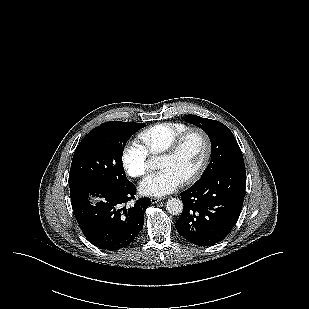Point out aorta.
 Returning a JSON list of instances; mask_svg holds the SVG:
<instances>
[{
  "mask_svg": "<svg viewBox=\"0 0 309 309\" xmlns=\"http://www.w3.org/2000/svg\"><path fill=\"white\" fill-rule=\"evenodd\" d=\"M166 210L172 215H179L183 211V202L178 198H170L166 202Z\"/></svg>",
  "mask_w": 309,
  "mask_h": 309,
  "instance_id": "aorta-1",
  "label": "aorta"
}]
</instances>
